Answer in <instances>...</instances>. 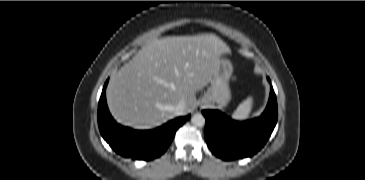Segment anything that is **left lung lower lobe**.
<instances>
[{"label": "left lung lower lobe", "instance_id": "1", "mask_svg": "<svg viewBox=\"0 0 365 180\" xmlns=\"http://www.w3.org/2000/svg\"><path fill=\"white\" fill-rule=\"evenodd\" d=\"M205 140L217 157L233 160L256 154L269 139L278 118L273 87L263 114L253 120L237 122L218 110H203Z\"/></svg>", "mask_w": 365, "mask_h": 180}]
</instances>
